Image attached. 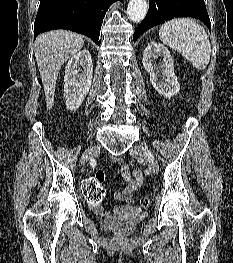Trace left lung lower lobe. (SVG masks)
Returning a JSON list of instances; mask_svg holds the SVG:
<instances>
[{"instance_id": "1", "label": "left lung lower lobe", "mask_w": 233, "mask_h": 263, "mask_svg": "<svg viewBox=\"0 0 233 263\" xmlns=\"http://www.w3.org/2000/svg\"><path fill=\"white\" fill-rule=\"evenodd\" d=\"M175 17L200 19L211 30L204 0H150L148 13L133 35L134 42L146 30Z\"/></svg>"}]
</instances>
